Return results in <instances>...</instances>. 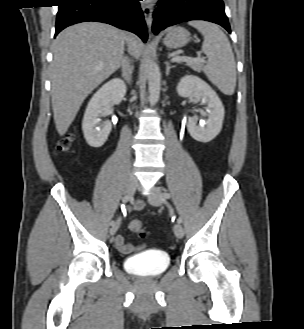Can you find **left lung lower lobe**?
<instances>
[{
  "label": "left lung lower lobe",
  "mask_w": 304,
  "mask_h": 329,
  "mask_svg": "<svg viewBox=\"0 0 304 329\" xmlns=\"http://www.w3.org/2000/svg\"><path fill=\"white\" fill-rule=\"evenodd\" d=\"M153 17L155 34L168 26L190 20L210 21L231 33L222 0H160Z\"/></svg>",
  "instance_id": "1"
}]
</instances>
